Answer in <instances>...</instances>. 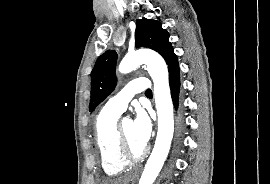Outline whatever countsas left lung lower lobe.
<instances>
[{"label": "left lung lower lobe", "mask_w": 270, "mask_h": 184, "mask_svg": "<svg viewBox=\"0 0 270 184\" xmlns=\"http://www.w3.org/2000/svg\"><path fill=\"white\" fill-rule=\"evenodd\" d=\"M169 72V84L171 96L175 108L178 107L180 94V70L176 54H174L167 63ZM182 127V126H181Z\"/></svg>", "instance_id": "left-lung-lower-lobe-1"}]
</instances>
